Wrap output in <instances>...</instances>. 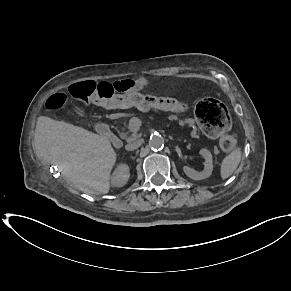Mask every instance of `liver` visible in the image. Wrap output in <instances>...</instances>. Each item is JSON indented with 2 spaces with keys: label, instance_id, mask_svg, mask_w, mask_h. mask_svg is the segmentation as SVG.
Here are the masks:
<instances>
[{
  "label": "liver",
  "instance_id": "obj_1",
  "mask_svg": "<svg viewBox=\"0 0 291 291\" xmlns=\"http://www.w3.org/2000/svg\"><path fill=\"white\" fill-rule=\"evenodd\" d=\"M34 149L54 162L62 175L87 194H107L117 154L108 138L49 117L37 121Z\"/></svg>",
  "mask_w": 291,
  "mask_h": 291
}]
</instances>
